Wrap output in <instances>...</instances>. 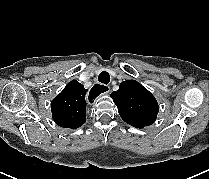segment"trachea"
Returning a JSON list of instances; mask_svg holds the SVG:
<instances>
[{
    "label": "trachea",
    "mask_w": 209,
    "mask_h": 179,
    "mask_svg": "<svg viewBox=\"0 0 209 179\" xmlns=\"http://www.w3.org/2000/svg\"><path fill=\"white\" fill-rule=\"evenodd\" d=\"M99 82L103 83V84H108L110 82V75L109 73L103 71L99 74L98 77Z\"/></svg>",
    "instance_id": "trachea-1"
}]
</instances>
